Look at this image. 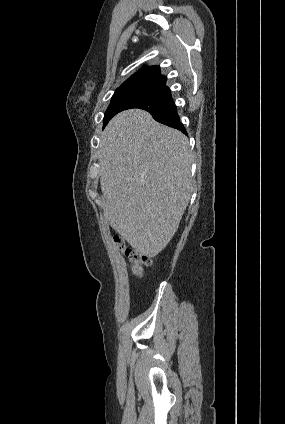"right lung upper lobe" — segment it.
I'll list each match as a JSON object with an SVG mask.
<instances>
[{
  "mask_svg": "<svg viewBox=\"0 0 285 424\" xmlns=\"http://www.w3.org/2000/svg\"><path fill=\"white\" fill-rule=\"evenodd\" d=\"M142 83H155L165 86L166 77L160 74L159 66H146L127 79L120 87Z\"/></svg>",
  "mask_w": 285,
  "mask_h": 424,
  "instance_id": "cb5924a9",
  "label": "right lung upper lobe"
}]
</instances>
